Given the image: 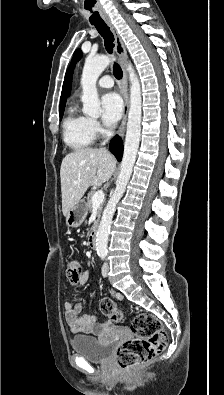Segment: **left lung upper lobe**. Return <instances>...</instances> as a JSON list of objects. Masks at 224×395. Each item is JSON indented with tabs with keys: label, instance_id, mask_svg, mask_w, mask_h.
Masks as SVG:
<instances>
[{
	"label": "left lung upper lobe",
	"instance_id": "1",
	"mask_svg": "<svg viewBox=\"0 0 224 395\" xmlns=\"http://www.w3.org/2000/svg\"><path fill=\"white\" fill-rule=\"evenodd\" d=\"M81 55H82L81 50L80 49L76 50L74 53V56H73V60L71 62L70 77H69V80H70L69 81V92H70V88H71V78H72L74 66H75L76 62L81 58Z\"/></svg>",
	"mask_w": 224,
	"mask_h": 395
}]
</instances>
